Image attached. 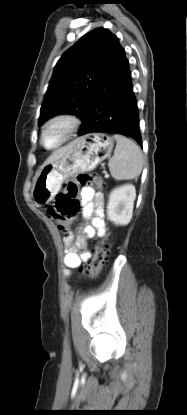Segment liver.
<instances>
[{
	"label": "liver",
	"mask_w": 187,
	"mask_h": 415,
	"mask_svg": "<svg viewBox=\"0 0 187 415\" xmlns=\"http://www.w3.org/2000/svg\"><path fill=\"white\" fill-rule=\"evenodd\" d=\"M69 149V145L58 149L57 151H54L51 156L46 160L45 164L47 163H51L56 161L57 159H59L60 157H62L64 155V153Z\"/></svg>",
	"instance_id": "6515ba94"
}]
</instances>
